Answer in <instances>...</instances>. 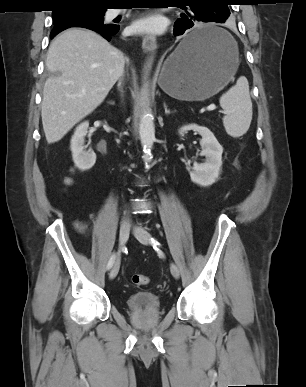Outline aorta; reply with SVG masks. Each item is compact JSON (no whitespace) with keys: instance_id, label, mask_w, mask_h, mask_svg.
Masks as SVG:
<instances>
[{"instance_id":"1","label":"aorta","mask_w":306,"mask_h":387,"mask_svg":"<svg viewBox=\"0 0 306 387\" xmlns=\"http://www.w3.org/2000/svg\"><path fill=\"white\" fill-rule=\"evenodd\" d=\"M152 60L153 57H151L147 62L145 79L148 75V71L151 69ZM139 135L144 151L143 159L145 162H150L152 159L151 149L155 141V127L154 117L152 115L151 109L148 106H145L140 118Z\"/></svg>"}]
</instances>
